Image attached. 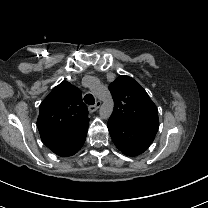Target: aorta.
<instances>
[{
    "label": "aorta",
    "instance_id": "1",
    "mask_svg": "<svg viewBox=\"0 0 208 208\" xmlns=\"http://www.w3.org/2000/svg\"><path fill=\"white\" fill-rule=\"evenodd\" d=\"M113 105L109 108L105 104L101 105L99 109V115L101 119H108L112 113Z\"/></svg>",
    "mask_w": 208,
    "mask_h": 208
}]
</instances>
